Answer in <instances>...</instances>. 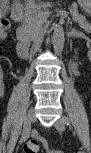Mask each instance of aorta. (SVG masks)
<instances>
[{
    "instance_id": "1",
    "label": "aorta",
    "mask_w": 91,
    "mask_h": 153,
    "mask_svg": "<svg viewBox=\"0 0 91 153\" xmlns=\"http://www.w3.org/2000/svg\"><path fill=\"white\" fill-rule=\"evenodd\" d=\"M52 42H53V48H54L55 54L57 55L61 54L64 48V42H65L64 30L61 25L55 26Z\"/></svg>"
}]
</instances>
